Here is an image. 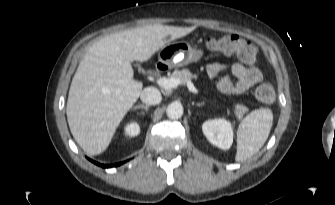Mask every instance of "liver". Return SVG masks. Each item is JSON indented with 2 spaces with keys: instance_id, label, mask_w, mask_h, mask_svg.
<instances>
[{
  "instance_id": "1",
  "label": "liver",
  "mask_w": 335,
  "mask_h": 205,
  "mask_svg": "<svg viewBox=\"0 0 335 205\" xmlns=\"http://www.w3.org/2000/svg\"><path fill=\"white\" fill-rule=\"evenodd\" d=\"M194 30L148 25L106 36L87 50L72 79L66 107L70 131L85 153L98 155L107 149L139 98L143 84L134 80L131 62L148 61L159 49Z\"/></svg>"
}]
</instances>
